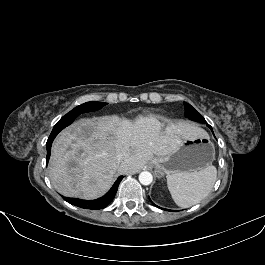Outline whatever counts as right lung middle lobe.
Here are the masks:
<instances>
[{
  "instance_id": "obj_1",
  "label": "right lung middle lobe",
  "mask_w": 265,
  "mask_h": 265,
  "mask_svg": "<svg viewBox=\"0 0 265 265\" xmlns=\"http://www.w3.org/2000/svg\"><path fill=\"white\" fill-rule=\"evenodd\" d=\"M107 105L104 102H86L75 107L73 110L68 112L65 116H63L60 121L56 124L58 126L65 125L67 123L72 122L76 117H78L81 113L96 111L101 109L103 106Z\"/></svg>"
}]
</instances>
